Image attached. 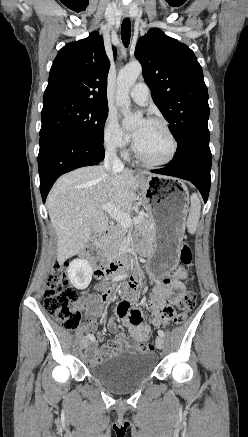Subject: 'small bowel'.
I'll return each mask as SVG.
<instances>
[{"label": "small bowel", "instance_id": "c3829d8e", "mask_svg": "<svg viewBox=\"0 0 248 437\" xmlns=\"http://www.w3.org/2000/svg\"><path fill=\"white\" fill-rule=\"evenodd\" d=\"M186 278V270L179 267L171 280L167 279L154 286L150 296L152 312L150 324L143 322L141 312L138 309L131 308V305L138 300L137 288L139 279L135 278L134 281L129 284L124 292V299L117 305L116 311L118 316L128 327L129 336L134 342L142 343L148 339L150 335V325L160 327L169 322L174 313L172 306L175 305L185 293L184 280ZM96 289L99 294H101L100 297L95 294H89L82 299V303L89 305L92 310H98L101 304L109 302L116 287L108 285L105 282H100L96 286ZM90 327H93L92 323ZM108 328L115 337L100 348L95 344L89 346L87 349V358L91 364L100 363L124 350L133 349L135 347L129 342L128 336L125 333L118 331L115 320L110 319L108 321ZM95 339L97 341H103L104 334L98 333Z\"/></svg>", "mask_w": 248, "mask_h": 437}]
</instances>
